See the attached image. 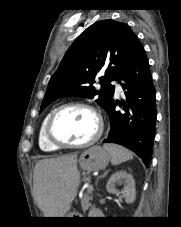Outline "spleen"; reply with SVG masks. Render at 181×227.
Listing matches in <instances>:
<instances>
[{
    "mask_svg": "<svg viewBox=\"0 0 181 227\" xmlns=\"http://www.w3.org/2000/svg\"><path fill=\"white\" fill-rule=\"evenodd\" d=\"M103 147L109 152L113 165H119L133 158L129 150L118 144L106 143Z\"/></svg>",
    "mask_w": 181,
    "mask_h": 227,
    "instance_id": "spleen-1",
    "label": "spleen"
}]
</instances>
